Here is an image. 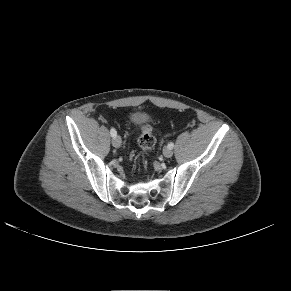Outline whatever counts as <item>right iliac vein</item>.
I'll return each instance as SVG.
<instances>
[{
    "instance_id": "right-iliac-vein-1",
    "label": "right iliac vein",
    "mask_w": 291,
    "mask_h": 291,
    "mask_svg": "<svg viewBox=\"0 0 291 291\" xmlns=\"http://www.w3.org/2000/svg\"><path fill=\"white\" fill-rule=\"evenodd\" d=\"M121 143H122V140H121V137L120 136H116L112 139V145L115 147V148H119L121 146Z\"/></svg>"
}]
</instances>
